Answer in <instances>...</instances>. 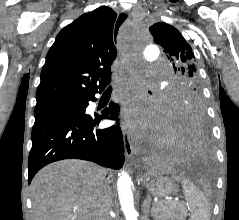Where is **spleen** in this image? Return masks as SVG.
<instances>
[{
  "label": "spleen",
  "mask_w": 239,
  "mask_h": 220,
  "mask_svg": "<svg viewBox=\"0 0 239 220\" xmlns=\"http://www.w3.org/2000/svg\"><path fill=\"white\" fill-rule=\"evenodd\" d=\"M182 188L185 200L191 209L189 220H210L211 211L204 194L188 179H182Z\"/></svg>",
  "instance_id": "1"
}]
</instances>
